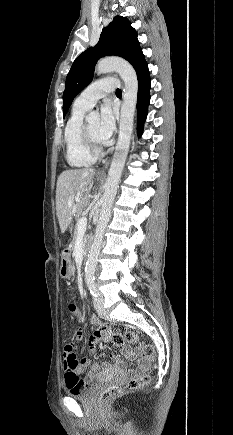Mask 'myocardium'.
<instances>
[{
	"label": "myocardium",
	"mask_w": 233,
	"mask_h": 435,
	"mask_svg": "<svg viewBox=\"0 0 233 435\" xmlns=\"http://www.w3.org/2000/svg\"><path fill=\"white\" fill-rule=\"evenodd\" d=\"M82 137L85 143V146L87 148V150L89 151V153L95 157V158H99L102 155H104L105 151L104 148L101 144H97L90 133L89 127H88V123L87 121L83 122L82 125Z\"/></svg>",
	"instance_id": "myocardium-1"
}]
</instances>
